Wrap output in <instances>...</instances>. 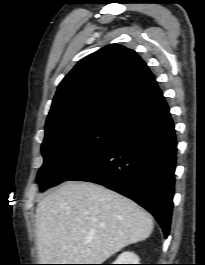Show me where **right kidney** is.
Listing matches in <instances>:
<instances>
[{
    "label": "right kidney",
    "instance_id": "ca27d5eb",
    "mask_svg": "<svg viewBox=\"0 0 205 265\" xmlns=\"http://www.w3.org/2000/svg\"><path fill=\"white\" fill-rule=\"evenodd\" d=\"M114 264H139V257L133 252H123Z\"/></svg>",
    "mask_w": 205,
    "mask_h": 265
}]
</instances>
